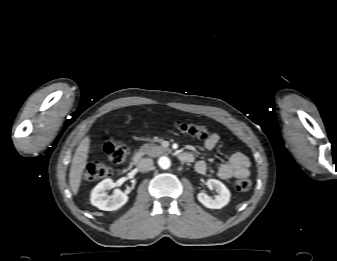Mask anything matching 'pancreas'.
I'll return each instance as SVG.
<instances>
[{
	"mask_svg": "<svg viewBox=\"0 0 337 261\" xmlns=\"http://www.w3.org/2000/svg\"><path fill=\"white\" fill-rule=\"evenodd\" d=\"M169 152V148H164L155 144H144L139 149L141 155H148L150 157H156Z\"/></svg>",
	"mask_w": 337,
	"mask_h": 261,
	"instance_id": "1",
	"label": "pancreas"
}]
</instances>
